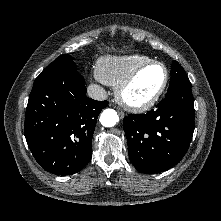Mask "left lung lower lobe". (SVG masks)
<instances>
[{"mask_svg": "<svg viewBox=\"0 0 221 221\" xmlns=\"http://www.w3.org/2000/svg\"><path fill=\"white\" fill-rule=\"evenodd\" d=\"M129 159L141 173H159L186 154L194 132L191 85L166 94L154 110L129 114L123 120Z\"/></svg>", "mask_w": 221, "mask_h": 221, "instance_id": "obj_1", "label": "left lung lower lobe"}]
</instances>
